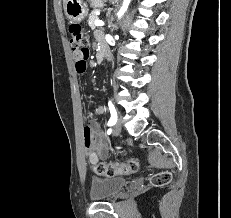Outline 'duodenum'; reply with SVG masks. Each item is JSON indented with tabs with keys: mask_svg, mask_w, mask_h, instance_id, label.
<instances>
[{
	"mask_svg": "<svg viewBox=\"0 0 231 218\" xmlns=\"http://www.w3.org/2000/svg\"><path fill=\"white\" fill-rule=\"evenodd\" d=\"M99 61L103 62L104 60H108L110 58L109 52L106 48L102 47L99 51Z\"/></svg>",
	"mask_w": 231,
	"mask_h": 218,
	"instance_id": "duodenum-1",
	"label": "duodenum"
}]
</instances>
